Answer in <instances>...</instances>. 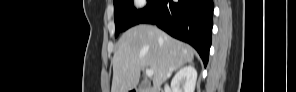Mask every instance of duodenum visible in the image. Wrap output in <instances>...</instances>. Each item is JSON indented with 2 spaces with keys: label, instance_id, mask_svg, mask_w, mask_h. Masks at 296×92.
I'll use <instances>...</instances> for the list:
<instances>
[{
  "label": "duodenum",
  "instance_id": "obj_1",
  "mask_svg": "<svg viewBox=\"0 0 296 92\" xmlns=\"http://www.w3.org/2000/svg\"><path fill=\"white\" fill-rule=\"evenodd\" d=\"M132 92H154L153 90H141V89H133Z\"/></svg>",
  "mask_w": 296,
  "mask_h": 92
}]
</instances>
